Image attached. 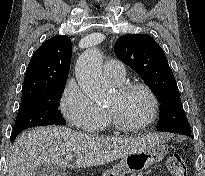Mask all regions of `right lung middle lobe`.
<instances>
[{
    "label": "right lung middle lobe",
    "instance_id": "dd1d6c3e",
    "mask_svg": "<svg viewBox=\"0 0 205 176\" xmlns=\"http://www.w3.org/2000/svg\"><path fill=\"white\" fill-rule=\"evenodd\" d=\"M64 85L51 89L22 96L20 108L17 114L15 125L10 140L23 130L34 126L65 125L61 116L59 99L64 91Z\"/></svg>",
    "mask_w": 205,
    "mask_h": 176
}]
</instances>
